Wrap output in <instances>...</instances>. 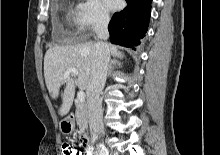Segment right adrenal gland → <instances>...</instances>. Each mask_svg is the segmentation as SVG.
Returning a JSON list of instances; mask_svg holds the SVG:
<instances>
[{"label": "right adrenal gland", "mask_w": 220, "mask_h": 155, "mask_svg": "<svg viewBox=\"0 0 220 155\" xmlns=\"http://www.w3.org/2000/svg\"><path fill=\"white\" fill-rule=\"evenodd\" d=\"M121 67H122V64L120 61L115 60V59L111 60L109 63V68H108V76H110L114 68H121Z\"/></svg>", "instance_id": "1"}]
</instances>
